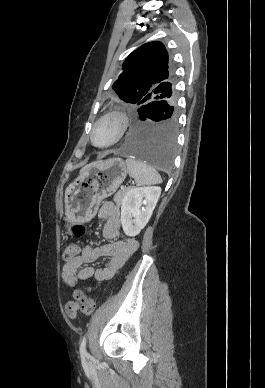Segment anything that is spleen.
Listing matches in <instances>:
<instances>
[{"mask_svg": "<svg viewBox=\"0 0 265 388\" xmlns=\"http://www.w3.org/2000/svg\"><path fill=\"white\" fill-rule=\"evenodd\" d=\"M126 166L130 178H134L138 186H152V184H161L162 178L158 172L148 166L143 160H136V158H127Z\"/></svg>", "mask_w": 265, "mask_h": 388, "instance_id": "obj_1", "label": "spleen"}]
</instances>
